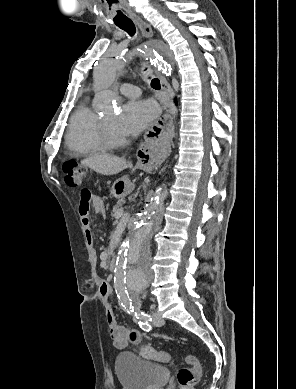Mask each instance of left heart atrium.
<instances>
[{"label": "left heart atrium", "instance_id": "obj_1", "mask_svg": "<svg viewBox=\"0 0 296 389\" xmlns=\"http://www.w3.org/2000/svg\"><path fill=\"white\" fill-rule=\"evenodd\" d=\"M158 109L150 101L133 100L124 105L117 120V129L123 135H137L157 117Z\"/></svg>", "mask_w": 296, "mask_h": 389}]
</instances>
